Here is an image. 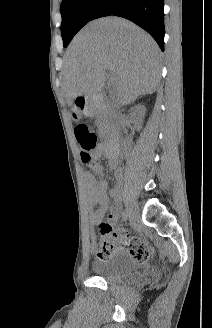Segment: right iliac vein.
Instances as JSON below:
<instances>
[{"mask_svg": "<svg viewBox=\"0 0 212 328\" xmlns=\"http://www.w3.org/2000/svg\"><path fill=\"white\" fill-rule=\"evenodd\" d=\"M128 212H129V216L132 220H134L138 214L137 208L135 206L134 203H129L127 206Z\"/></svg>", "mask_w": 212, "mask_h": 328, "instance_id": "right-iliac-vein-1", "label": "right iliac vein"}]
</instances>
